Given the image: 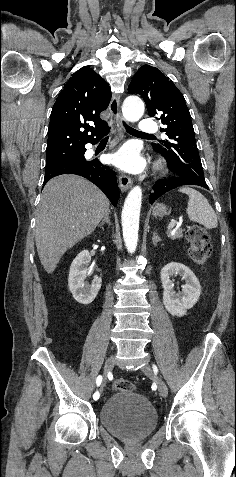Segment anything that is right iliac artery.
Masks as SVG:
<instances>
[{
    "label": "right iliac artery",
    "mask_w": 236,
    "mask_h": 477,
    "mask_svg": "<svg viewBox=\"0 0 236 477\" xmlns=\"http://www.w3.org/2000/svg\"><path fill=\"white\" fill-rule=\"evenodd\" d=\"M101 382H102V376L99 375V376L96 378V384H97V386H100ZM99 398H100V394H99L98 391H96V392L94 393V395H93V401H94V402H97Z\"/></svg>",
    "instance_id": "1"
}]
</instances>
